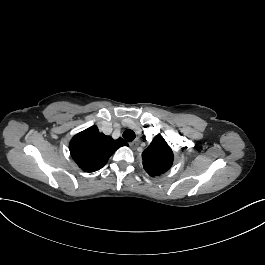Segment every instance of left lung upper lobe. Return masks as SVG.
<instances>
[{
	"mask_svg": "<svg viewBox=\"0 0 265 265\" xmlns=\"http://www.w3.org/2000/svg\"><path fill=\"white\" fill-rule=\"evenodd\" d=\"M173 158L171 148L157 135L142 153L143 168L151 177L159 176L171 168Z\"/></svg>",
	"mask_w": 265,
	"mask_h": 265,
	"instance_id": "left-lung-upper-lobe-1",
	"label": "left lung upper lobe"
}]
</instances>
